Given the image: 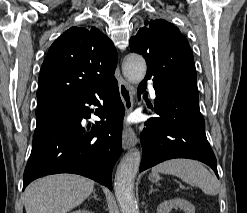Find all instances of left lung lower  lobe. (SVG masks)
Returning a JSON list of instances; mask_svg holds the SVG:
<instances>
[{"label": "left lung lower lobe", "instance_id": "obj_1", "mask_svg": "<svg viewBox=\"0 0 247 213\" xmlns=\"http://www.w3.org/2000/svg\"><path fill=\"white\" fill-rule=\"evenodd\" d=\"M145 89L146 85L140 84L138 94ZM154 89L153 111L158 117L150 118L141 132L143 156L139 171L165 160L188 158L209 165L218 177L216 158L206 138L198 99L183 91H163L156 86Z\"/></svg>", "mask_w": 247, "mask_h": 213}]
</instances>
